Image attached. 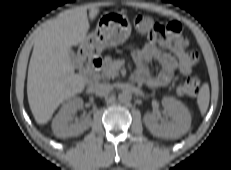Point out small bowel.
<instances>
[{
	"mask_svg": "<svg viewBox=\"0 0 231 170\" xmlns=\"http://www.w3.org/2000/svg\"><path fill=\"white\" fill-rule=\"evenodd\" d=\"M164 27L165 34L162 38H150L143 46L132 51V58L137 66L136 78L152 88L169 85L175 72L189 75L199 58L196 52L188 51L189 42L182 35L179 22L172 21ZM158 45L171 53L162 51ZM153 61L161 65V69L155 75L149 68Z\"/></svg>",
	"mask_w": 231,
	"mask_h": 170,
	"instance_id": "c3829d8e",
	"label": "small bowel"
}]
</instances>
